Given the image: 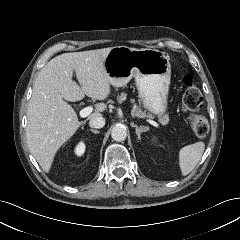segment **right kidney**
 Instances as JSON below:
<instances>
[{"label": "right kidney", "instance_id": "obj_1", "mask_svg": "<svg viewBox=\"0 0 240 240\" xmlns=\"http://www.w3.org/2000/svg\"><path fill=\"white\" fill-rule=\"evenodd\" d=\"M85 152V144L83 142H80L76 148H75V153L78 156L83 155V153Z\"/></svg>", "mask_w": 240, "mask_h": 240}]
</instances>
